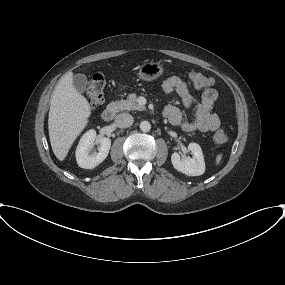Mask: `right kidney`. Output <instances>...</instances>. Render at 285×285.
<instances>
[{"instance_id": "obj_1", "label": "right kidney", "mask_w": 285, "mask_h": 285, "mask_svg": "<svg viewBox=\"0 0 285 285\" xmlns=\"http://www.w3.org/2000/svg\"><path fill=\"white\" fill-rule=\"evenodd\" d=\"M99 143L98 152L90 153L94 143ZM111 147V140L102 137L96 140V131L91 129L87 131L79 141L76 149L77 164L81 168L93 169L103 162L108 156Z\"/></svg>"}]
</instances>
